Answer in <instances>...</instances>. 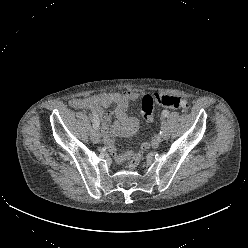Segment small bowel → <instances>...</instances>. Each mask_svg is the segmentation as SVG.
<instances>
[{"label":"small bowel","instance_id":"obj_1","mask_svg":"<svg viewBox=\"0 0 248 248\" xmlns=\"http://www.w3.org/2000/svg\"><path fill=\"white\" fill-rule=\"evenodd\" d=\"M138 98L139 94L132 91L106 92L83 99H74L70 105L75 109L90 108L96 112L102 123V133L108 150L117 162H122L128 152L117 154L114 137L130 136L138 131V120L128 115L129 103L137 101ZM112 104L115 105L116 122L114 124L111 123L112 114L104 111Z\"/></svg>","mask_w":248,"mask_h":248}]
</instances>
